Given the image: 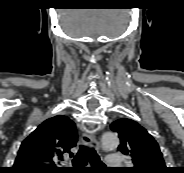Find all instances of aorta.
Listing matches in <instances>:
<instances>
[{
    "label": "aorta",
    "instance_id": "obj_1",
    "mask_svg": "<svg viewBox=\"0 0 184 173\" xmlns=\"http://www.w3.org/2000/svg\"><path fill=\"white\" fill-rule=\"evenodd\" d=\"M101 145L103 150H112L119 145V138L117 134L112 132H106L102 135Z\"/></svg>",
    "mask_w": 184,
    "mask_h": 173
}]
</instances>
